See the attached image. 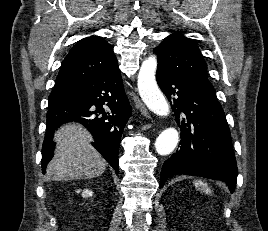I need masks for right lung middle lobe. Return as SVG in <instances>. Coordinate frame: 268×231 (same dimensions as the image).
I'll use <instances>...</instances> for the list:
<instances>
[{"label":"right lung middle lobe","instance_id":"1","mask_svg":"<svg viewBox=\"0 0 268 231\" xmlns=\"http://www.w3.org/2000/svg\"><path fill=\"white\" fill-rule=\"evenodd\" d=\"M78 95L76 88H64L53 90L49 96V106H56L68 102Z\"/></svg>","mask_w":268,"mask_h":231}]
</instances>
